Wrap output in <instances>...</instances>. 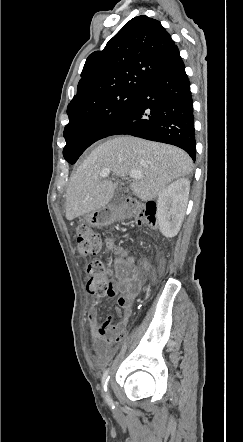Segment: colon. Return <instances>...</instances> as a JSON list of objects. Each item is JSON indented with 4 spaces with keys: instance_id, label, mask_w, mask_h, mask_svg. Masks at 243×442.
I'll return each instance as SVG.
<instances>
[{
    "instance_id": "5ec220e1",
    "label": "colon",
    "mask_w": 243,
    "mask_h": 442,
    "mask_svg": "<svg viewBox=\"0 0 243 442\" xmlns=\"http://www.w3.org/2000/svg\"><path fill=\"white\" fill-rule=\"evenodd\" d=\"M136 221L139 224L156 226L157 205L147 203L136 205ZM78 251L83 257H96L100 251V236L92 231L86 224H79L76 228ZM143 269L147 270L148 263H141ZM87 289L89 293L97 298L113 297L114 290L109 282V270L99 259L92 260L87 266Z\"/></svg>"
}]
</instances>
